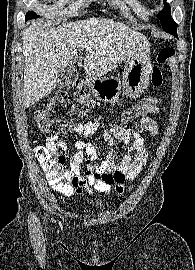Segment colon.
I'll use <instances>...</instances> for the list:
<instances>
[{
	"label": "colon",
	"instance_id": "1",
	"mask_svg": "<svg viewBox=\"0 0 195 270\" xmlns=\"http://www.w3.org/2000/svg\"><path fill=\"white\" fill-rule=\"evenodd\" d=\"M174 55L175 50L172 47H165L159 52L157 63L151 73V83L154 87L162 85L163 74L161 67L170 61ZM76 97L81 105V109L77 110L76 114L85 116L94 106L89 88L85 84L79 83ZM67 101V94L62 91L58 92L50 103L35 112L36 125L48 138L66 134L74 128L73 123L68 120L50 118L53 106L56 103L65 104ZM158 103V98L154 96L143 99L122 113L121 123L129 124L134 122L137 118L148 114L157 107ZM35 153L51 187L60 193L65 194L68 192L71 188L72 180L65 166V157L60 154L59 149L57 147L41 145L36 147Z\"/></svg>",
	"mask_w": 195,
	"mask_h": 270
}]
</instances>
